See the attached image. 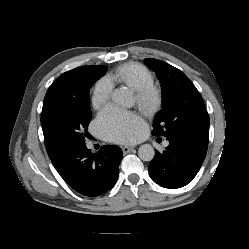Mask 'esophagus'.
Instances as JSON below:
<instances>
[{
  "mask_svg": "<svg viewBox=\"0 0 249 249\" xmlns=\"http://www.w3.org/2000/svg\"><path fill=\"white\" fill-rule=\"evenodd\" d=\"M134 149V146H123L122 147V151L124 154L129 153L130 151H132Z\"/></svg>",
  "mask_w": 249,
  "mask_h": 249,
  "instance_id": "34e87169",
  "label": "esophagus"
}]
</instances>
